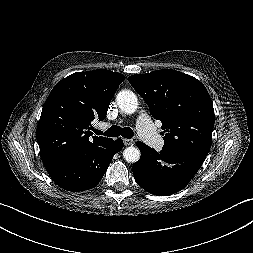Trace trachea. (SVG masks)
Masks as SVG:
<instances>
[{
    "mask_svg": "<svg viewBox=\"0 0 253 253\" xmlns=\"http://www.w3.org/2000/svg\"><path fill=\"white\" fill-rule=\"evenodd\" d=\"M96 135H105L109 137H116L122 135L124 138H132L134 136V132L130 127L121 128L120 126H112L104 133L100 130H94Z\"/></svg>",
    "mask_w": 253,
    "mask_h": 253,
    "instance_id": "obj_1",
    "label": "trachea"
}]
</instances>
